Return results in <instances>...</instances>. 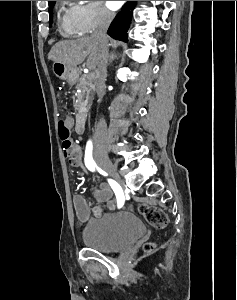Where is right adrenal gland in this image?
Here are the masks:
<instances>
[{"instance_id": "right-adrenal-gland-1", "label": "right adrenal gland", "mask_w": 237, "mask_h": 300, "mask_svg": "<svg viewBox=\"0 0 237 300\" xmlns=\"http://www.w3.org/2000/svg\"><path fill=\"white\" fill-rule=\"evenodd\" d=\"M114 59H116V55H114V53H112V55H110V57H109V63H112V61H114Z\"/></svg>"}]
</instances>
